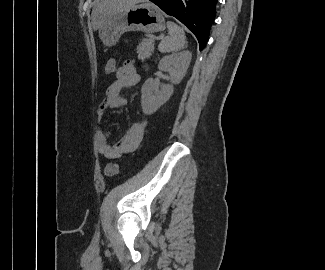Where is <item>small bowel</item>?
I'll use <instances>...</instances> for the list:
<instances>
[{"label": "small bowel", "mask_w": 325, "mask_h": 270, "mask_svg": "<svg viewBox=\"0 0 325 270\" xmlns=\"http://www.w3.org/2000/svg\"><path fill=\"white\" fill-rule=\"evenodd\" d=\"M140 81L134 64L125 62L116 68L115 80L108 87L105 99L97 109L98 120L100 121L109 109L120 108L127 104L126 97L121 95L124 88L136 86ZM146 127L145 121H137L130 125L121 140L115 144H109V133L100 130L97 135L98 153L106 159H117L121 156L136 150L142 140Z\"/></svg>", "instance_id": "small-bowel-1"}]
</instances>
